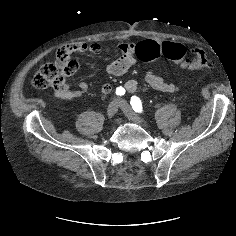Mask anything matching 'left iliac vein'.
<instances>
[{"instance_id": "4c4485c4", "label": "left iliac vein", "mask_w": 236, "mask_h": 236, "mask_svg": "<svg viewBox=\"0 0 236 236\" xmlns=\"http://www.w3.org/2000/svg\"><path fill=\"white\" fill-rule=\"evenodd\" d=\"M119 107L130 121L139 125H144V121L133 112L125 100H119Z\"/></svg>"}]
</instances>
